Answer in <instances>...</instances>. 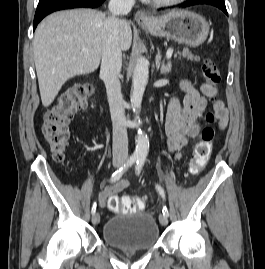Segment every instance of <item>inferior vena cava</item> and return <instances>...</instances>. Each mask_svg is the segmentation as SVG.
Returning <instances> with one entry per match:
<instances>
[{
  "instance_id": "obj_1",
  "label": "inferior vena cava",
  "mask_w": 265,
  "mask_h": 269,
  "mask_svg": "<svg viewBox=\"0 0 265 269\" xmlns=\"http://www.w3.org/2000/svg\"><path fill=\"white\" fill-rule=\"evenodd\" d=\"M135 0H110L111 15L106 19L102 31L101 76L106 86L113 125V160H127L128 137L125 103L121 93L119 76L122 52L119 43V15L131 11Z\"/></svg>"
}]
</instances>
